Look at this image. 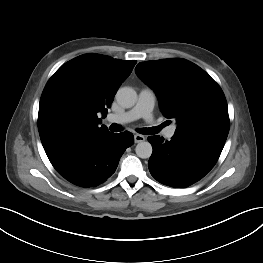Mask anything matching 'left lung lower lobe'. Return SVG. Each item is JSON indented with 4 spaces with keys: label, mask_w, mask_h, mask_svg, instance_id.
Segmentation results:
<instances>
[{
    "label": "left lung lower lobe",
    "mask_w": 263,
    "mask_h": 263,
    "mask_svg": "<svg viewBox=\"0 0 263 263\" xmlns=\"http://www.w3.org/2000/svg\"><path fill=\"white\" fill-rule=\"evenodd\" d=\"M153 153L148 167L160 183L184 188L203 178L217 162L226 139L175 131L170 141L148 137Z\"/></svg>",
    "instance_id": "left-lung-lower-lobe-1"
}]
</instances>
